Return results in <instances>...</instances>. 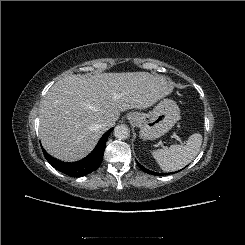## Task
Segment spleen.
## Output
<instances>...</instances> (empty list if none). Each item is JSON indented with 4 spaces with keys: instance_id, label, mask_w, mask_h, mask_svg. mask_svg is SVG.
Instances as JSON below:
<instances>
[{
    "instance_id": "spleen-1",
    "label": "spleen",
    "mask_w": 245,
    "mask_h": 245,
    "mask_svg": "<svg viewBox=\"0 0 245 245\" xmlns=\"http://www.w3.org/2000/svg\"><path fill=\"white\" fill-rule=\"evenodd\" d=\"M202 135L194 133L189 136L185 145H171L166 149H158L152 155L163 171H176L188 165L199 153Z\"/></svg>"
}]
</instances>
